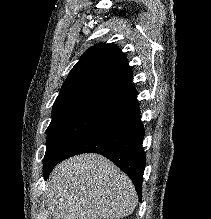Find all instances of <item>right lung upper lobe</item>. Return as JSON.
<instances>
[{"instance_id":"obj_1","label":"right lung upper lobe","mask_w":211,"mask_h":219,"mask_svg":"<svg viewBox=\"0 0 211 219\" xmlns=\"http://www.w3.org/2000/svg\"><path fill=\"white\" fill-rule=\"evenodd\" d=\"M125 55L114 44L99 43L88 49L71 70L54 104L91 98L118 107L136 97Z\"/></svg>"}]
</instances>
